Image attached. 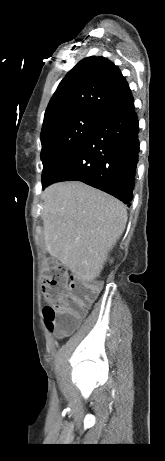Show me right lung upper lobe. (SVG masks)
I'll return each instance as SVG.
<instances>
[{
	"label": "right lung upper lobe",
	"instance_id": "obj_1",
	"mask_svg": "<svg viewBox=\"0 0 165 461\" xmlns=\"http://www.w3.org/2000/svg\"><path fill=\"white\" fill-rule=\"evenodd\" d=\"M134 102L119 68L104 57H87L60 82L45 111L42 131L53 121L83 115L104 119Z\"/></svg>",
	"mask_w": 165,
	"mask_h": 461
}]
</instances>
